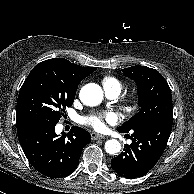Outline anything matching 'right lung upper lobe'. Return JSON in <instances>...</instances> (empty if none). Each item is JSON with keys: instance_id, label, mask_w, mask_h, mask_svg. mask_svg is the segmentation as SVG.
<instances>
[{"instance_id": "obj_1", "label": "right lung upper lobe", "mask_w": 194, "mask_h": 194, "mask_svg": "<svg viewBox=\"0 0 194 194\" xmlns=\"http://www.w3.org/2000/svg\"><path fill=\"white\" fill-rule=\"evenodd\" d=\"M38 65H47L52 68L55 73L61 77L69 86L78 88V84L89 74L94 72L96 67H82L71 63L64 58H53L45 60ZM18 125V124H17Z\"/></svg>"}]
</instances>
